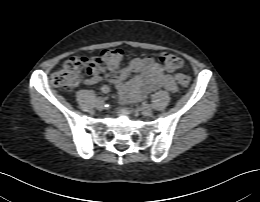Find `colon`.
<instances>
[{
    "label": "colon",
    "instance_id": "1",
    "mask_svg": "<svg viewBox=\"0 0 260 202\" xmlns=\"http://www.w3.org/2000/svg\"><path fill=\"white\" fill-rule=\"evenodd\" d=\"M124 57V51L119 48L105 50L100 58L72 57L52 74L50 81L55 87L71 90L78 85L83 74L90 75L94 71H102L104 68L119 67ZM159 64L168 71H175L183 66V60L171 52H162L159 55ZM175 78L182 86H188L191 82V78L186 74L178 73Z\"/></svg>",
    "mask_w": 260,
    "mask_h": 202
}]
</instances>
